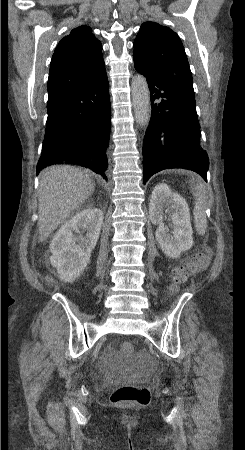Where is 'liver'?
Here are the masks:
<instances>
[{
	"mask_svg": "<svg viewBox=\"0 0 245 450\" xmlns=\"http://www.w3.org/2000/svg\"><path fill=\"white\" fill-rule=\"evenodd\" d=\"M91 177L68 165L51 166L41 175L39 185L38 231L43 242L94 192Z\"/></svg>",
	"mask_w": 245,
	"mask_h": 450,
	"instance_id": "liver-1",
	"label": "liver"
}]
</instances>
